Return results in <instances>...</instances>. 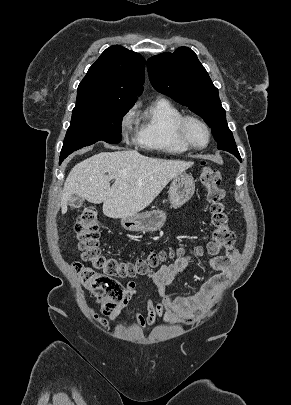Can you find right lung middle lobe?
<instances>
[{"label":"right lung middle lobe","instance_id":"right-lung-middle-lobe-1","mask_svg":"<svg viewBox=\"0 0 291 405\" xmlns=\"http://www.w3.org/2000/svg\"><path fill=\"white\" fill-rule=\"evenodd\" d=\"M132 106L100 103L75 106L60 155V163L73 151L103 140L121 141L122 117Z\"/></svg>","mask_w":291,"mask_h":405}]
</instances>
